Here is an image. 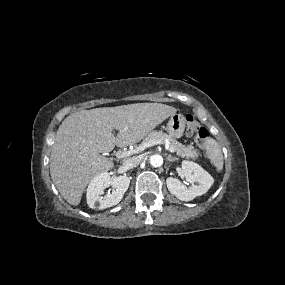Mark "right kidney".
Masks as SVG:
<instances>
[{
  "label": "right kidney",
  "instance_id": "1",
  "mask_svg": "<svg viewBox=\"0 0 285 285\" xmlns=\"http://www.w3.org/2000/svg\"><path fill=\"white\" fill-rule=\"evenodd\" d=\"M130 180L126 176H117L113 179L110 178L108 172H102L95 176L87 188V203L92 209L103 210L105 208L118 204L123 198L124 193L127 191ZM112 186V192H108L105 196L104 190Z\"/></svg>",
  "mask_w": 285,
  "mask_h": 285
}]
</instances>
